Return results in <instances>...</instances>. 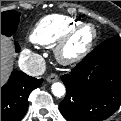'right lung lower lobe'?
Returning <instances> with one entry per match:
<instances>
[{
  "label": "right lung lower lobe",
  "mask_w": 121,
  "mask_h": 121,
  "mask_svg": "<svg viewBox=\"0 0 121 121\" xmlns=\"http://www.w3.org/2000/svg\"><path fill=\"white\" fill-rule=\"evenodd\" d=\"M14 44L19 51L18 43ZM42 81L21 71H13L8 83L1 88V121H20L27 112L30 92Z\"/></svg>",
  "instance_id": "right-lung-lower-lobe-1"
}]
</instances>
